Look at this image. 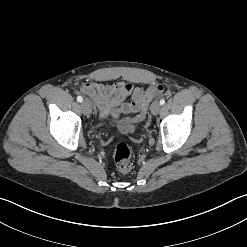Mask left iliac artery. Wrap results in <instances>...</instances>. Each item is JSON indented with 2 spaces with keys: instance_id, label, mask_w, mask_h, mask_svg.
<instances>
[{
  "instance_id": "1",
  "label": "left iliac artery",
  "mask_w": 247,
  "mask_h": 247,
  "mask_svg": "<svg viewBox=\"0 0 247 247\" xmlns=\"http://www.w3.org/2000/svg\"><path fill=\"white\" fill-rule=\"evenodd\" d=\"M165 103V100L164 99H161L160 100V104L163 105Z\"/></svg>"
}]
</instances>
